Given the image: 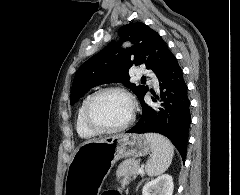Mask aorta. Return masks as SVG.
I'll return each instance as SVG.
<instances>
[{
    "instance_id": "aorta-1",
    "label": "aorta",
    "mask_w": 240,
    "mask_h": 195,
    "mask_svg": "<svg viewBox=\"0 0 240 195\" xmlns=\"http://www.w3.org/2000/svg\"><path fill=\"white\" fill-rule=\"evenodd\" d=\"M125 46H130V44H125Z\"/></svg>"
}]
</instances>
